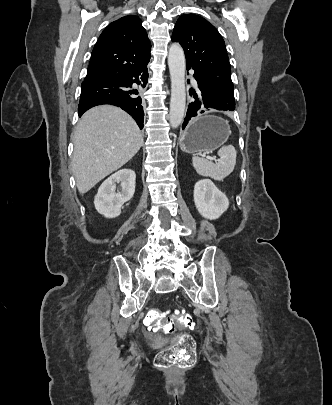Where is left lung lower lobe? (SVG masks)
I'll list each match as a JSON object with an SVG mask.
<instances>
[{
    "instance_id": "1",
    "label": "left lung lower lobe",
    "mask_w": 332,
    "mask_h": 405,
    "mask_svg": "<svg viewBox=\"0 0 332 405\" xmlns=\"http://www.w3.org/2000/svg\"><path fill=\"white\" fill-rule=\"evenodd\" d=\"M187 69H189V68H187ZM194 78L198 83V89L196 92H195V90H190V92H189L190 95L193 97V100L188 105L186 118L182 125L183 129L185 128V126L188 124L189 120L192 117L197 116L200 113H204L209 108L227 111L226 109L220 108L212 101L210 93L201 84L200 77L198 75L194 74Z\"/></svg>"
}]
</instances>
